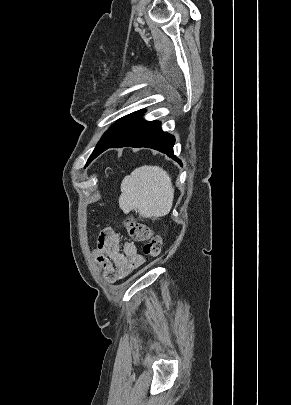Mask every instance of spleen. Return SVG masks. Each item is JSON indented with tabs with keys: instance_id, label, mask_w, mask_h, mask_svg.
I'll list each match as a JSON object with an SVG mask.
<instances>
[{
	"instance_id": "3e777b00",
	"label": "spleen",
	"mask_w": 291,
	"mask_h": 405,
	"mask_svg": "<svg viewBox=\"0 0 291 405\" xmlns=\"http://www.w3.org/2000/svg\"><path fill=\"white\" fill-rule=\"evenodd\" d=\"M173 198L169 174L159 166L144 165L123 179L119 206L125 213L137 210L142 217L159 218L170 212Z\"/></svg>"
}]
</instances>
